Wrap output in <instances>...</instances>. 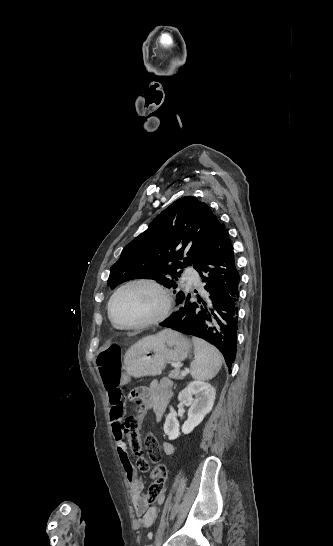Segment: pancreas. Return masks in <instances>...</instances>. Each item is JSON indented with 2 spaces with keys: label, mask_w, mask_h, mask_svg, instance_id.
Here are the masks:
<instances>
[{
  "label": "pancreas",
  "mask_w": 333,
  "mask_h": 546,
  "mask_svg": "<svg viewBox=\"0 0 333 546\" xmlns=\"http://www.w3.org/2000/svg\"><path fill=\"white\" fill-rule=\"evenodd\" d=\"M169 377L176 380H182L184 377L181 375L178 368H174L169 372Z\"/></svg>",
  "instance_id": "1"
}]
</instances>
